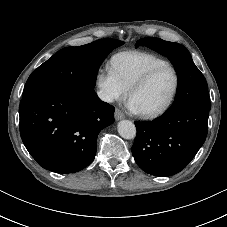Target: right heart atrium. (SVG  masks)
<instances>
[{
	"mask_svg": "<svg viewBox=\"0 0 227 227\" xmlns=\"http://www.w3.org/2000/svg\"><path fill=\"white\" fill-rule=\"evenodd\" d=\"M99 97L106 103H113L126 96L127 89L118 79L111 66L100 68L96 74Z\"/></svg>",
	"mask_w": 227,
	"mask_h": 227,
	"instance_id": "right-heart-atrium-1",
	"label": "right heart atrium"
}]
</instances>
